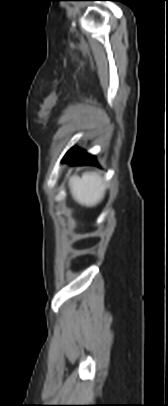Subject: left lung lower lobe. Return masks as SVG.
<instances>
[{"instance_id": "1", "label": "left lung lower lobe", "mask_w": 168, "mask_h": 406, "mask_svg": "<svg viewBox=\"0 0 168 406\" xmlns=\"http://www.w3.org/2000/svg\"><path fill=\"white\" fill-rule=\"evenodd\" d=\"M63 162H69L72 165L96 164L93 156L86 154L85 151L72 148L63 158Z\"/></svg>"}]
</instances>
